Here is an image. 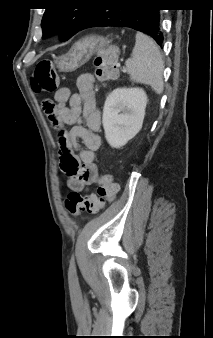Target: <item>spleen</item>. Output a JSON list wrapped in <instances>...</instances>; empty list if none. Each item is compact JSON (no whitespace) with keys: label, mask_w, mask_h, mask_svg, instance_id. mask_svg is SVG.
Returning a JSON list of instances; mask_svg holds the SVG:
<instances>
[{"label":"spleen","mask_w":213,"mask_h":338,"mask_svg":"<svg viewBox=\"0 0 213 338\" xmlns=\"http://www.w3.org/2000/svg\"><path fill=\"white\" fill-rule=\"evenodd\" d=\"M125 65L132 81L151 86L157 94L163 92L164 62L153 39L137 32L132 56Z\"/></svg>","instance_id":"1"}]
</instances>
